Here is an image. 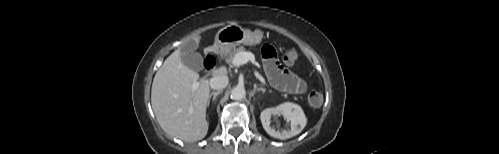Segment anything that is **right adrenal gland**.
Here are the masks:
<instances>
[{"mask_svg": "<svg viewBox=\"0 0 499 154\" xmlns=\"http://www.w3.org/2000/svg\"><path fill=\"white\" fill-rule=\"evenodd\" d=\"M222 91L221 90H218V91H215V92H212L209 97H208V101H207V106H209L210 104V99L211 97L213 96V102L215 101L216 97L221 93Z\"/></svg>", "mask_w": 499, "mask_h": 154, "instance_id": "2a0ac1e0", "label": "right adrenal gland"}]
</instances>
